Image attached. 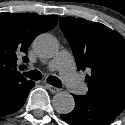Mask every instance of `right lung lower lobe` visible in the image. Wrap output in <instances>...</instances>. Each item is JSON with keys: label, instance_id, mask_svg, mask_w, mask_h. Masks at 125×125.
I'll return each instance as SVG.
<instances>
[{"label": "right lung lower lobe", "instance_id": "1", "mask_svg": "<svg viewBox=\"0 0 125 125\" xmlns=\"http://www.w3.org/2000/svg\"><path fill=\"white\" fill-rule=\"evenodd\" d=\"M34 82L12 81L0 87V116H6L18 111L25 103Z\"/></svg>", "mask_w": 125, "mask_h": 125}]
</instances>
